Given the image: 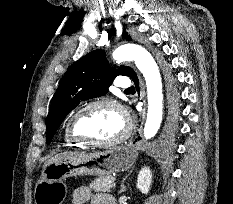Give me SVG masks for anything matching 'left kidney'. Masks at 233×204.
Here are the masks:
<instances>
[{
	"instance_id": "5707ae66",
	"label": "left kidney",
	"mask_w": 233,
	"mask_h": 204,
	"mask_svg": "<svg viewBox=\"0 0 233 204\" xmlns=\"http://www.w3.org/2000/svg\"><path fill=\"white\" fill-rule=\"evenodd\" d=\"M152 183V173L149 167L140 170L137 178V187L143 194H148Z\"/></svg>"
}]
</instances>
